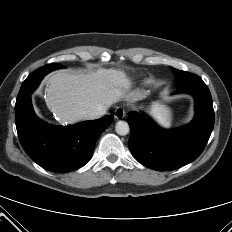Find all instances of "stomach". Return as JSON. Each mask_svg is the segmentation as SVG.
I'll return each mask as SVG.
<instances>
[{"label": "stomach", "mask_w": 232, "mask_h": 232, "mask_svg": "<svg viewBox=\"0 0 232 232\" xmlns=\"http://www.w3.org/2000/svg\"><path fill=\"white\" fill-rule=\"evenodd\" d=\"M150 113L162 127L168 128L171 125L172 112L170 108L161 104H154Z\"/></svg>", "instance_id": "stomach-1"}]
</instances>
